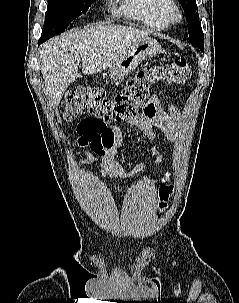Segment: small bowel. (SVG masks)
I'll list each match as a JSON object with an SVG mask.
<instances>
[{"instance_id": "obj_1", "label": "small bowel", "mask_w": 239, "mask_h": 303, "mask_svg": "<svg viewBox=\"0 0 239 303\" xmlns=\"http://www.w3.org/2000/svg\"><path fill=\"white\" fill-rule=\"evenodd\" d=\"M161 98L153 94L146 104L143 112L127 120L128 125L137 127L139 131L149 140L155 142L157 129L166 132L169 140H173L175 135L170 130L173 122L161 110ZM96 121L95 118H87L77 126L76 144L79 147L91 146L94 153L86 154L88 164H97L100 167L101 175L105 179L120 180L134 175L144 169V165H139L135 171L127 173L116 159V155L124 144L123 133L114 125L106 126L102 131L95 133L90 125ZM155 163L159 164L164 159V154L154 144ZM168 180V174L163 181ZM165 187V186H162Z\"/></svg>"}]
</instances>
